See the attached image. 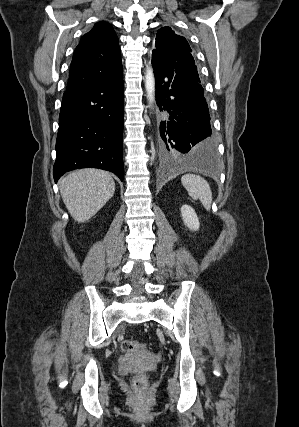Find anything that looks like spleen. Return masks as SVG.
Listing matches in <instances>:
<instances>
[{
    "instance_id": "3e777b00",
    "label": "spleen",
    "mask_w": 299,
    "mask_h": 427,
    "mask_svg": "<svg viewBox=\"0 0 299 427\" xmlns=\"http://www.w3.org/2000/svg\"><path fill=\"white\" fill-rule=\"evenodd\" d=\"M182 185L194 200L199 199L206 210L211 209L212 191L208 182L199 175L186 174L181 177Z\"/></svg>"
}]
</instances>
